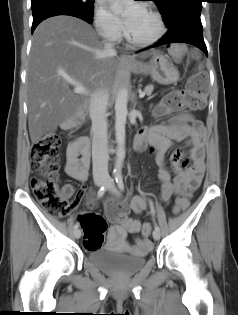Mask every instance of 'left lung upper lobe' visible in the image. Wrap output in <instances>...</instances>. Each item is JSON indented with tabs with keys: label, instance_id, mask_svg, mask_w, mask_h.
Instances as JSON below:
<instances>
[{
	"label": "left lung upper lobe",
	"instance_id": "obj_1",
	"mask_svg": "<svg viewBox=\"0 0 238 315\" xmlns=\"http://www.w3.org/2000/svg\"><path fill=\"white\" fill-rule=\"evenodd\" d=\"M163 15L164 23L169 25L184 12L202 9V0H152Z\"/></svg>",
	"mask_w": 238,
	"mask_h": 315
}]
</instances>
